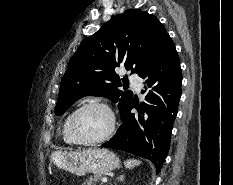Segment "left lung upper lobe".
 <instances>
[{"instance_id":"5c2ea615","label":"left lung upper lobe","mask_w":233,"mask_h":185,"mask_svg":"<svg viewBox=\"0 0 233 185\" xmlns=\"http://www.w3.org/2000/svg\"><path fill=\"white\" fill-rule=\"evenodd\" d=\"M168 37L163 24L148 12L129 9L113 17L86 38L71 58L61 81L56 114H63L83 96L96 95L118 102L122 117L133 94L118 89L122 84L115 67L123 65L140 75Z\"/></svg>"}]
</instances>
